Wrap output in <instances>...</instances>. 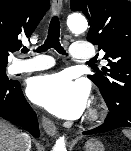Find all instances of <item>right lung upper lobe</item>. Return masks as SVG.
Returning a JSON list of instances; mask_svg holds the SVG:
<instances>
[{
  "mask_svg": "<svg viewBox=\"0 0 131 151\" xmlns=\"http://www.w3.org/2000/svg\"><path fill=\"white\" fill-rule=\"evenodd\" d=\"M49 0H0V63L21 48L49 9Z\"/></svg>",
  "mask_w": 131,
  "mask_h": 151,
  "instance_id": "right-lung-upper-lobe-1",
  "label": "right lung upper lobe"
}]
</instances>
